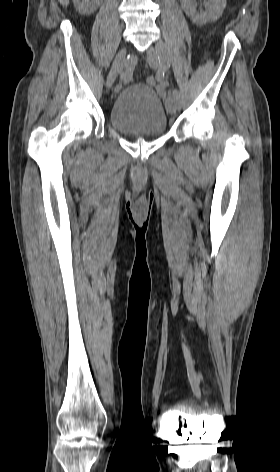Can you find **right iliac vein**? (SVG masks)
<instances>
[{"label": "right iliac vein", "instance_id": "1", "mask_svg": "<svg viewBox=\"0 0 280 472\" xmlns=\"http://www.w3.org/2000/svg\"><path fill=\"white\" fill-rule=\"evenodd\" d=\"M125 57H126L125 49L120 50L119 53L116 55L113 61L111 70L107 77L106 85L108 88L112 87L117 75L122 71L125 64Z\"/></svg>", "mask_w": 280, "mask_h": 472}]
</instances>
